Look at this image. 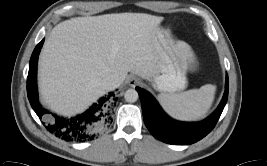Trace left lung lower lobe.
<instances>
[{
	"instance_id": "obj_1",
	"label": "left lung lower lobe",
	"mask_w": 267,
	"mask_h": 166,
	"mask_svg": "<svg viewBox=\"0 0 267 166\" xmlns=\"http://www.w3.org/2000/svg\"><path fill=\"white\" fill-rule=\"evenodd\" d=\"M138 91L145 125L158 140L173 145H189L201 140L215 127L228 98V75L225 92L218 108L201 122H180L170 118L160 107L154 97L146 90L136 87Z\"/></svg>"
}]
</instances>
